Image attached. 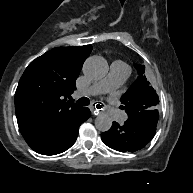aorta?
<instances>
[{"instance_id": "obj_1", "label": "aorta", "mask_w": 193, "mask_h": 193, "mask_svg": "<svg viewBox=\"0 0 193 193\" xmlns=\"http://www.w3.org/2000/svg\"><path fill=\"white\" fill-rule=\"evenodd\" d=\"M107 71V62L96 56L88 58L83 66V72L85 75L93 79H100L104 77ZM94 124L98 131L106 132L112 126V119L107 114L102 113L96 117Z\"/></svg>"}]
</instances>
